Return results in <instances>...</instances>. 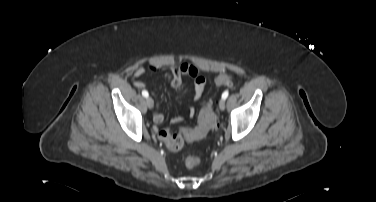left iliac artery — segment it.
<instances>
[{
    "instance_id": "1",
    "label": "left iliac artery",
    "mask_w": 376,
    "mask_h": 202,
    "mask_svg": "<svg viewBox=\"0 0 376 202\" xmlns=\"http://www.w3.org/2000/svg\"><path fill=\"white\" fill-rule=\"evenodd\" d=\"M229 95V92L228 91H224L223 94H222V99H226Z\"/></svg>"
}]
</instances>
